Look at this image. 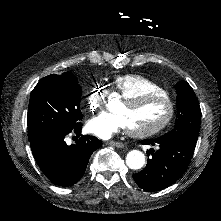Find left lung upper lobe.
Returning <instances> with one entry per match:
<instances>
[{
    "instance_id": "obj_1",
    "label": "left lung upper lobe",
    "mask_w": 221,
    "mask_h": 221,
    "mask_svg": "<svg viewBox=\"0 0 221 221\" xmlns=\"http://www.w3.org/2000/svg\"><path fill=\"white\" fill-rule=\"evenodd\" d=\"M177 90V120L171 131L197 140L201 124V109L192 87L186 81L176 84Z\"/></svg>"
}]
</instances>
